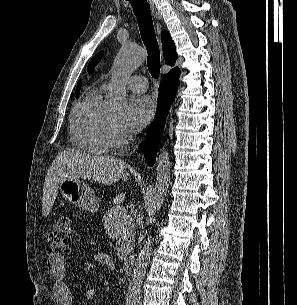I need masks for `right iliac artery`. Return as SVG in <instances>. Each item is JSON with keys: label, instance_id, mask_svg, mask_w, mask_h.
I'll list each match as a JSON object with an SVG mask.
<instances>
[{"label": "right iliac artery", "instance_id": "82829eb1", "mask_svg": "<svg viewBox=\"0 0 297 305\" xmlns=\"http://www.w3.org/2000/svg\"><path fill=\"white\" fill-rule=\"evenodd\" d=\"M135 304V298L132 296H129L126 298V305H134Z\"/></svg>", "mask_w": 297, "mask_h": 305}]
</instances>
